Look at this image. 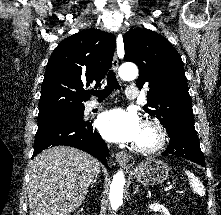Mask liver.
Returning a JSON list of instances; mask_svg holds the SVG:
<instances>
[{
    "label": "liver",
    "mask_w": 221,
    "mask_h": 215,
    "mask_svg": "<svg viewBox=\"0 0 221 215\" xmlns=\"http://www.w3.org/2000/svg\"><path fill=\"white\" fill-rule=\"evenodd\" d=\"M100 163L69 146H55L38 154L30 165V215H69L84 201Z\"/></svg>",
    "instance_id": "obj_1"
}]
</instances>
